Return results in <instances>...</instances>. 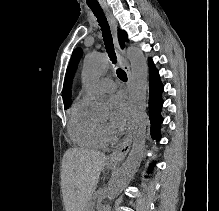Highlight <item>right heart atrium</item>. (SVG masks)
I'll use <instances>...</instances> for the list:
<instances>
[{
    "label": "right heart atrium",
    "instance_id": "d8ad5b80",
    "mask_svg": "<svg viewBox=\"0 0 219 211\" xmlns=\"http://www.w3.org/2000/svg\"><path fill=\"white\" fill-rule=\"evenodd\" d=\"M100 125H101V131H102L105 141L110 142L114 137L113 131L106 123H101Z\"/></svg>",
    "mask_w": 219,
    "mask_h": 211
}]
</instances>
